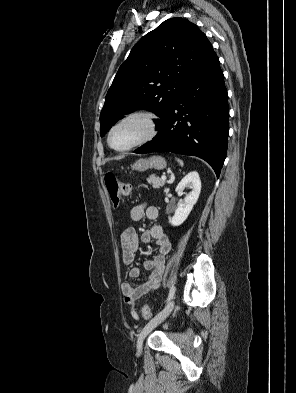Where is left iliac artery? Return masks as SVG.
Here are the masks:
<instances>
[{
	"label": "left iliac artery",
	"mask_w": 296,
	"mask_h": 393,
	"mask_svg": "<svg viewBox=\"0 0 296 393\" xmlns=\"http://www.w3.org/2000/svg\"><path fill=\"white\" fill-rule=\"evenodd\" d=\"M175 292H176V287H175V285L172 283L171 286H170V290H169V295H168V298H167V302L170 301V300L174 297Z\"/></svg>",
	"instance_id": "left-iliac-artery-1"
}]
</instances>
